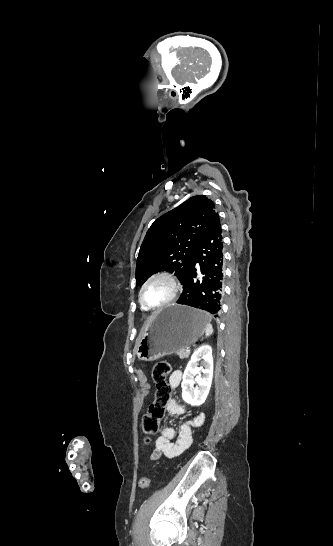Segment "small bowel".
Listing matches in <instances>:
<instances>
[{"instance_id": "obj_1", "label": "small bowel", "mask_w": 333, "mask_h": 546, "mask_svg": "<svg viewBox=\"0 0 333 546\" xmlns=\"http://www.w3.org/2000/svg\"><path fill=\"white\" fill-rule=\"evenodd\" d=\"M183 374L180 370H175L169 377L172 387L177 388L182 382ZM166 409L171 415H182L186 412L185 408L176 400L172 399L166 405ZM205 415L200 413L193 419L183 423L176 437V431L172 426H164L155 441V451L152 458L155 459L161 454L167 458H175L187 450L192 444V431L204 424Z\"/></svg>"}]
</instances>
